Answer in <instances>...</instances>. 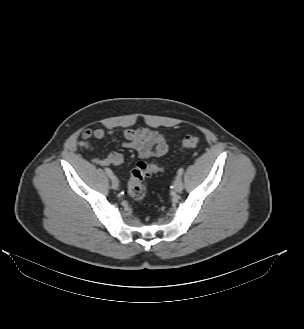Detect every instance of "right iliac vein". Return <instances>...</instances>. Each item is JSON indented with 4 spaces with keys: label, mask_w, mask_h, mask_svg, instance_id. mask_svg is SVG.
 <instances>
[{
    "label": "right iliac vein",
    "mask_w": 304,
    "mask_h": 329,
    "mask_svg": "<svg viewBox=\"0 0 304 329\" xmlns=\"http://www.w3.org/2000/svg\"><path fill=\"white\" fill-rule=\"evenodd\" d=\"M111 186L113 189H118L119 182L115 176H112V178H111Z\"/></svg>",
    "instance_id": "right-iliac-vein-1"
}]
</instances>
